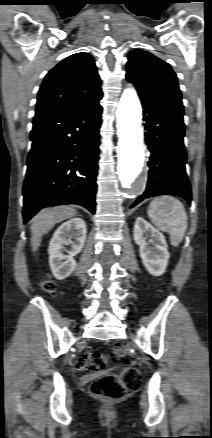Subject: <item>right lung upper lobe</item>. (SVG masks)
<instances>
[{
    "mask_svg": "<svg viewBox=\"0 0 212 438\" xmlns=\"http://www.w3.org/2000/svg\"><path fill=\"white\" fill-rule=\"evenodd\" d=\"M100 85L93 57L87 53L73 54L46 75L35 117L92 105L102 98Z\"/></svg>",
    "mask_w": 212,
    "mask_h": 438,
    "instance_id": "obj_1",
    "label": "right lung upper lobe"
}]
</instances>
